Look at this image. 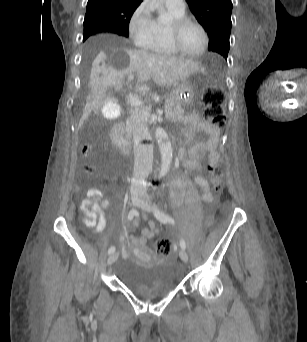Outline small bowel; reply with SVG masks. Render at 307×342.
Instances as JSON below:
<instances>
[{
	"mask_svg": "<svg viewBox=\"0 0 307 342\" xmlns=\"http://www.w3.org/2000/svg\"><path fill=\"white\" fill-rule=\"evenodd\" d=\"M198 132L206 134L207 138L197 141L188 149L184 148L180 151L183 165L187 169L199 170L201 168V160L206 155L210 163L219 162L220 160V154L217 151L220 140L219 128L204 118L195 117L186 132L188 141H192ZM195 183L202 190L203 201L210 203L212 201V195L208 181L202 176H197ZM108 205V199L103 198L102 192L96 188H91L86 192V198L80 205V209L85 215V224L93 228L96 233L102 232L105 228L106 216L104 211ZM137 226L138 219H135L125 227V232L119 236V244L123 257L129 255L130 249L138 251L144 250L147 242L153 239L159 232L157 225L153 221H149V226L142 229L140 237L128 236L127 231L134 230Z\"/></svg>",
	"mask_w": 307,
	"mask_h": 342,
	"instance_id": "small-bowel-1",
	"label": "small bowel"
}]
</instances>
